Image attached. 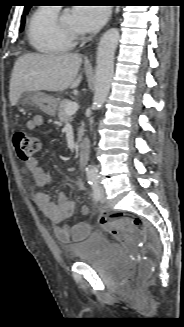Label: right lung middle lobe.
<instances>
[{
	"instance_id": "right-lung-middle-lobe-1",
	"label": "right lung middle lobe",
	"mask_w": 184,
	"mask_h": 327,
	"mask_svg": "<svg viewBox=\"0 0 184 327\" xmlns=\"http://www.w3.org/2000/svg\"><path fill=\"white\" fill-rule=\"evenodd\" d=\"M24 22H25V19H24V16H22V20H21V29H23V27H24Z\"/></svg>"
}]
</instances>
